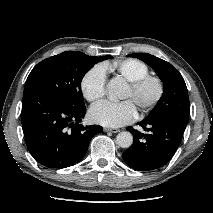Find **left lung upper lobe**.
I'll return each mask as SVG.
<instances>
[{"label": "left lung upper lobe", "mask_w": 213, "mask_h": 213, "mask_svg": "<svg viewBox=\"0 0 213 213\" xmlns=\"http://www.w3.org/2000/svg\"><path fill=\"white\" fill-rule=\"evenodd\" d=\"M127 56L138 58L151 66L163 82V96L145 119L173 116L188 122L189 97L185 81L178 70L170 63L148 53H133Z\"/></svg>", "instance_id": "1"}]
</instances>
